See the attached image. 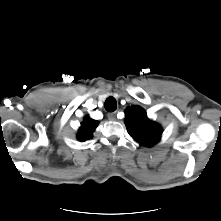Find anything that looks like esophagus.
<instances>
[{
	"label": "esophagus",
	"instance_id": "34e87169",
	"mask_svg": "<svg viewBox=\"0 0 221 221\" xmlns=\"http://www.w3.org/2000/svg\"><path fill=\"white\" fill-rule=\"evenodd\" d=\"M108 119L109 120H115L116 119V113L115 112H112V113H108Z\"/></svg>",
	"mask_w": 221,
	"mask_h": 221
}]
</instances>
